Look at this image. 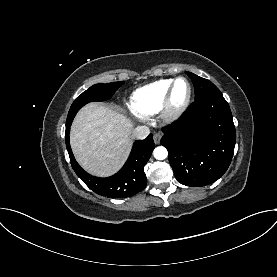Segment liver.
<instances>
[{
	"mask_svg": "<svg viewBox=\"0 0 277 277\" xmlns=\"http://www.w3.org/2000/svg\"><path fill=\"white\" fill-rule=\"evenodd\" d=\"M132 123L123 114L89 103L76 115L70 144L78 163L90 174L107 177L126 161L132 146Z\"/></svg>",
	"mask_w": 277,
	"mask_h": 277,
	"instance_id": "liver-1",
	"label": "liver"
}]
</instances>
